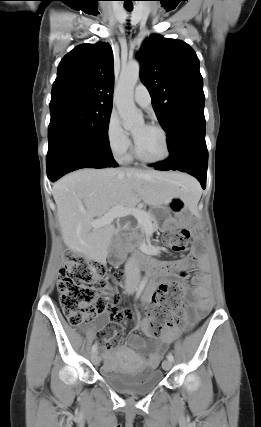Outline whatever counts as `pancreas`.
<instances>
[{
    "instance_id": "obj_1",
    "label": "pancreas",
    "mask_w": 261,
    "mask_h": 427,
    "mask_svg": "<svg viewBox=\"0 0 261 427\" xmlns=\"http://www.w3.org/2000/svg\"><path fill=\"white\" fill-rule=\"evenodd\" d=\"M146 213H147L148 220H149V223H148V225L146 226V229H149L150 231H153V230H155V228H156L155 224H153V223H152V221H153V216H152V214H151V213H149V212H146ZM140 226H141V232H142V234H141V235H139L137 238H139V239L143 240V239H144V235H143V227H142V225H141V224H140Z\"/></svg>"
}]
</instances>
